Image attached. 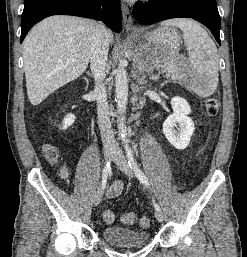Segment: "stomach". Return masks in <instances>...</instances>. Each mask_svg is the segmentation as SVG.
Returning <instances> with one entry per match:
<instances>
[{"label":"stomach","instance_id":"1","mask_svg":"<svg viewBox=\"0 0 247 257\" xmlns=\"http://www.w3.org/2000/svg\"><path fill=\"white\" fill-rule=\"evenodd\" d=\"M135 37L138 46L134 51V61L141 70L149 71L157 66L173 67L174 72L168 75L194 89L192 69L178 55L181 36L175 28L163 26L138 33Z\"/></svg>","mask_w":247,"mask_h":257}]
</instances>
